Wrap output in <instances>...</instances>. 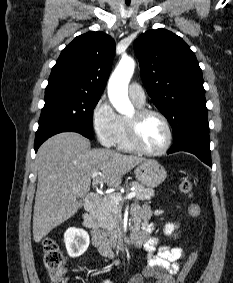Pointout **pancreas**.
<instances>
[{
    "label": "pancreas",
    "mask_w": 233,
    "mask_h": 283,
    "mask_svg": "<svg viewBox=\"0 0 233 283\" xmlns=\"http://www.w3.org/2000/svg\"><path fill=\"white\" fill-rule=\"evenodd\" d=\"M129 186L135 188V198L137 200H150L154 196V190L146 188L138 182H132ZM121 195L120 193H114ZM112 195V194H110ZM110 195L103 198L102 204L96 212L99 225L112 235H120L122 224V204L111 199Z\"/></svg>",
    "instance_id": "obj_1"
}]
</instances>
